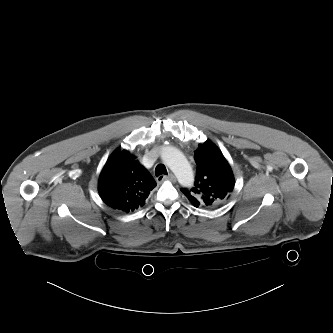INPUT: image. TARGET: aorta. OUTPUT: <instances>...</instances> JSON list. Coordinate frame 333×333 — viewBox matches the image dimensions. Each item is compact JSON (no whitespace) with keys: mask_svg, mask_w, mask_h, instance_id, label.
<instances>
[{"mask_svg":"<svg viewBox=\"0 0 333 333\" xmlns=\"http://www.w3.org/2000/svg\"><path fill=\"white\" fill-rule=\"evenodd\" d=\"M161 158L176 175L181 185L186 187L193 185L194 175L191 166L180 150L172 146H164L161 151Z\"/></svg>","mask_w":333,"mask_h":333,"instance_id":"1","label":"aorta"}]
</instances>
